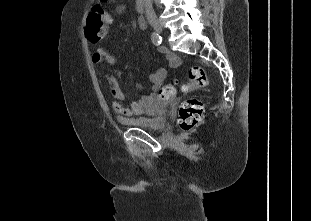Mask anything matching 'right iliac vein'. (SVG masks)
Returning <instances> with one entry per match:
<instances>
[{"instance_id": "1", "label": "right iliac vein", "mask_w": 311, "mask_h": 221, "mask_svg": "<svg viewBox=\"0 0 311 221\" xmlns=\"http://www.w3.org/2000/svg\"><path fill=\"white\" fill-rule=\"evenodd\" d=\"M151 26L153 27V29L156 31V33L161 34L163 29H162V25L159 21L157 20H152L151 21Z\"/></svg>"}]
</instances>
